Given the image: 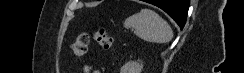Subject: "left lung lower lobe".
<instances>
[{
  "label": "left lung lower lobe",
  "mask_w": 244,
  "mask_h": 73,
  "mask_svg": "<svg viewBox=\"0 0 244 73\" xmlns=\"http://www.w3.org/2000/svg\"><path fill=\"white\" fill-rule=\"evenodd\" d=\"M164 10L181 27H184L190 0H146Z\"/></svg>",
  "instance_id": "0a47b994"
}]
</instances>
